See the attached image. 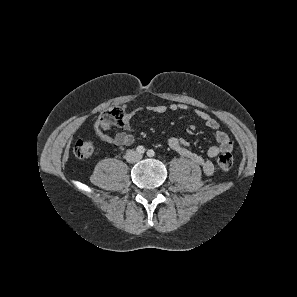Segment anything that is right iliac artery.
<instances>
[{
    "label": "right iliac artery",
    "instance_id": "right-iliac-artery-1",
    "mask_svg": "<svg viewBox=\"0 0 297 297\" xmlns=\"http://www.w3.org/2000/svg\"><path fill=\"white\" fill-rule=\"evenodd\" d=\"M136 150L139 154H143L145 152V148L143 146H138Z\"/></svg>",
    "mask_w": 297,
    "mask_h": 297
}]
</instances>
